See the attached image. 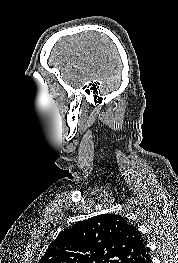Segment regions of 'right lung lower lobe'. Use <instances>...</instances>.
I'll return each instance as SVG.
<instances>
[{
  "label": "right lung lower lobe",
  "instance_id": "obj_1",
  "mask_svg": "<svg viewBox=\"0 0 178 263\" xmlns=\"http://www.w3.org/2000/svg\"><path fill=\"white\" fill-rule=\"evenodd\" d=\"M143 263H151L150 255L143 261Z\"/></svg>",
  "mask_w": 178,
  "mask_h": 263
}]
</instances>
